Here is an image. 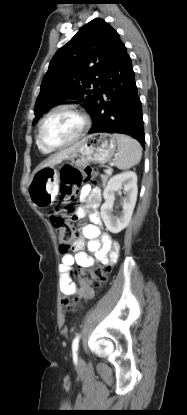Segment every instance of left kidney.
I'll return each instance as SVG.
<instances>
[{
  "label": "left kidney",
  "mask_w": 187,
  "mask_h": 415,
  "mask_svg": "<svg viewBox=\"0 0 187 415\" xmlns=\"http://www.w3.org/2000/svg\"><path fill=\"white\" fill-rule=\"evenodd\" d=\"M123 189L125 197L121 200L122 212L112 215L116 193ZM138 194L137 175L133 171H125L110 178L104 189V204L101 206V218L106 228L116 234L125 229L132 217Z\"/></svg>",
  "instance_id": "1"
}]
</instances>
